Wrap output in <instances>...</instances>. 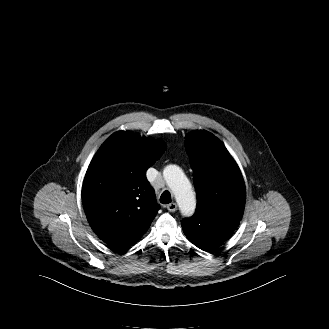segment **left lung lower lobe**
Segmentation results:
<instances>
[{"instance_id": "obj_1", "label": "left lung lower lobe", "mask_w": 329, "mask_h": 329, "mask_svg": "<svg viewBox=\"0 0 329 329\" xmlns=\"http://www.w3.org/2000/svg\"><path fill=\"white\" fill-rule=\"evenodd\" d=\"M227 238L228 237H220L215 240H206L202 242H193V243L204 251L212 252L214 249L220 246L221 243L225 241Z\"/></svg>"}]
</instances>
